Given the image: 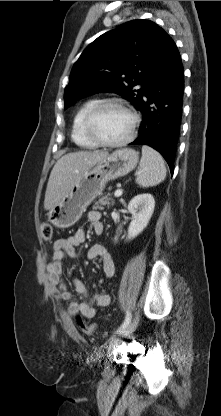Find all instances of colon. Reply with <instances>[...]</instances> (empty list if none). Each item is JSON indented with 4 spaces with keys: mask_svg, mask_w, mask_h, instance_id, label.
<instances>
[{
    "mask_svg": "<svg viewBox=\"0 0 221 416\" xmlns=\"http://www.w3.org/2000/svg\"><path fill=\"white\" fill-rule=\"evenodd\" d=\"M41 235L43 240L50 241L53 236V228L49 223H44L41 227ZM78 323L83 331L88 335H93L96 331L94 326L85 324L81 319H78Z\"/></svg>",
    "mask_w": 221,
    "mask_h": 416,
    "instance_id": "colon-1",
    "label": "colon"
}]
</instances>
